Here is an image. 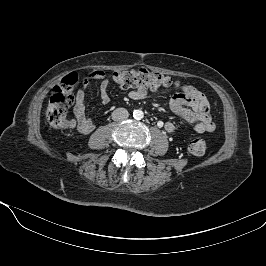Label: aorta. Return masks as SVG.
Segmentation results:
<instances>
[{"label":"aorta","instance_id":"1","mask_svg":"<svg viewBox=\"0 0 266 266\" xmlns=\"http://www.w3.org/2000/svg\"><path fill=\"white\" fill-rule=\"evenodd\" d=\"M133 117L137 120H140L144 117V113L142 110L138 109V110H134L133 112Z\"/></svg>","mask_w":266,"mask_h":266}]
</instances>
